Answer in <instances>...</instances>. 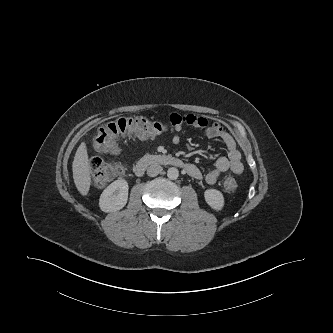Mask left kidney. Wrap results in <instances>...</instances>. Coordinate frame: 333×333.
<instances>
[{
	"mask_svg": "<svg viewBox=\"0 0 333 333\" xmlns=\"http://www.w3.org/2000/svg\"><path fill=\"white\" fill-rule=\"evenodd\" d=\"M204 198L206 203L214 210H222L224 207L223 194L216 189H207L204 192Z\"/></svg>",
	"mask_w": 333,
	"mask_h": 333,
	"instance_id": "5707ae66",
	"label": "left kidney"
}]
</instances>
